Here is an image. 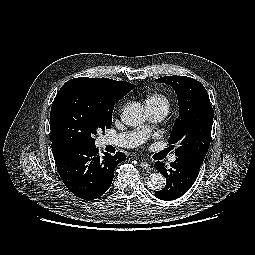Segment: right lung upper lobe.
Masks as SVG:
<instances>
[{"label": "right lung upper lobe", "instance_id": "obj_1", "mask_svg": "<svg viewBox=\"0 0 255 255\" xmlns=\"http://www.w3.org/2000/svg\"><path fill=\"white\" fill-rule=\"evenodd\" d=\"M77 79L79 78H75L70 81H75ZM89 79H90V83L98 91H100V93L116 101H118L121 97H123L125 94H127L129 91H131L135 87V85L129 82L115 81L108 78H89Z\"/></svg>", "mask_w": 255, "mask_h": 255}]
</instances>
